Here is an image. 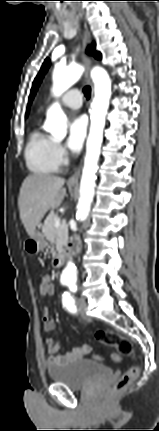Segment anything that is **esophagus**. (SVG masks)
<instances>
[{
	"mask_svg": "<svg viewBox=\"0 0 159 431\" xmlns=\"http://www.w3.org/2000/svg\"><path fill=\"white\" fill-rule=\"evenodd\" d=\"M90 43V37H89V33H88V29L85 26V35H84V46H87ZM83 60L88 68V71L90 69L91 66V60L88 56H86L85 54H83ZM88 74V72H87ZM81 169H82V163L80 164V166L76 169V171L74 172V174L69 178L68 183L70 184H75L78 183L79 178H80V174H81Z\"/></svg>",
	"mask_w": 159,
	"mask_h": 431,
	"instance_id": "1",
	"label": "esophagus"
}]
</instances>
